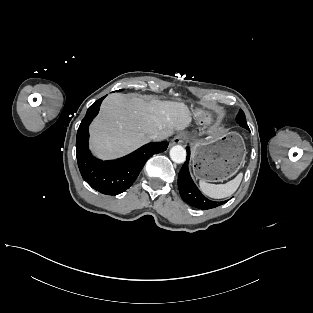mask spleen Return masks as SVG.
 Returning a JSON list of instances; mask_svg holds the SVG:
<instances>
[{
	"mask_svg": "<svg viewBox=\"0 0 313 313\" xmlns=\"http://www.w3.org/2000/svg\"><path fill=\"white\" fill-rule=\"evenodd\" d=\"M243 174L239 173L234 179L230 180L226 184H210L203 180L199 181L201 191L215 199L226 198L232 195L239 187Z\"/></svg>",
	"mask_w": 313,
	"mask_h": 313,
	"instance_id": "1",
	"label": "spleen"
}]
</instances>
